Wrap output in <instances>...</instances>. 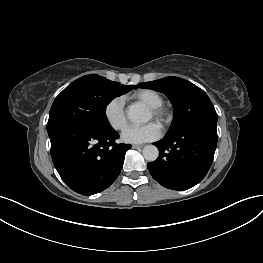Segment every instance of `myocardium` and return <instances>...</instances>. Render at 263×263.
I'll return each mask as SVG.
<instances>
[{
	"label": "myocardium",
	"mask_w": 263,
	"mask_h": 263,
	"mask_svg": "<svg viewBox=\"0 0 263 263\" xmlns=\"http://www.w3.org/2000/svg\"><path fill=\"white\" fill-rule=\"evenodd\" d=\"M153 117L158 121L165 123L169 119V112L163 106L150 108Z\"/></svg>",
	"instance_id": "myocardium-1"
}]
</instances>
